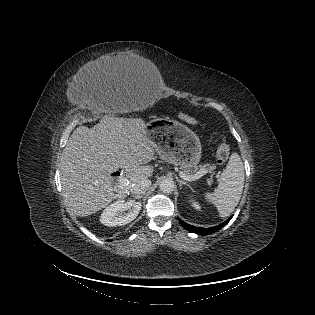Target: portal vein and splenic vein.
I'll return each mask as SVG.
<instances>
[{"label":"portal vein and splenic vein","mask_w":315,"mask_h":315,"mask_svg":"<svg viewBox=\"0 0 315 315\" xmlns=\"http://www.w3.org/2000/svg\"><path fill=\"white\" fill-rule=\"evenodd\" d=\"M207 173V171L201 169L199 170L196 174L194 175H187L185 174L184 172H179V176L186 180V181H195V180H198L199 178H201L203 175H205ZM129 183V180L127 179V177H124V176H121L119 179H118V188H123L124 186L128 185ZM207 183L209 185L212 184V181L210 178H207Z\"/></svg>","instance_id":"obj_1"}]
</instances>
